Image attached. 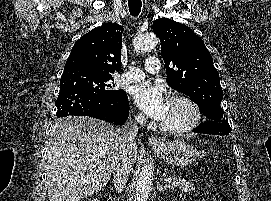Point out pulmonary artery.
<instances>
[{
    "instance_id": "e3ab8cb5",
    "label": "pulmonary artery",
    "mask_w": 271,
    "mask_h": 201,
    "mask_svg": "<svg viewBox=\"0 0 271 201\" xmlns=\"http://www.w3.org/2000/svg\"><path fill=\"white\" fill-rule=\"evenodd\" d=\"M159 69L160 62L157 57L152 56L147 58L145 63V70L147 73L155 74L159 72ZM121 78L125 82L129 83L138 82L145 78V73L139 68L130 67L129 70L121 76Z\"/></svg>"
}]
</instances>
